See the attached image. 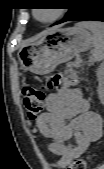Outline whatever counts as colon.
<instances>
[{
	"instance_id": "5ec220e1",
	"label": "colon",
	"mask_w": 104,
	"mask_h": 169,
	"mask_svg": "<svg viewBox=\"0 0 104 169\" xmlns=\"http://www.w3.org/2000/svg\"><path fill=\"white\" fill-rule=\"evenodd\" d=\"M77 80L60 73L47 74L40 86H29L23 90V105L28 118L35 119L42 112L46 90L65 89L75 85ZM90 156L74 159L66 169H86Z\"/></svg>"
}]
</instances>
